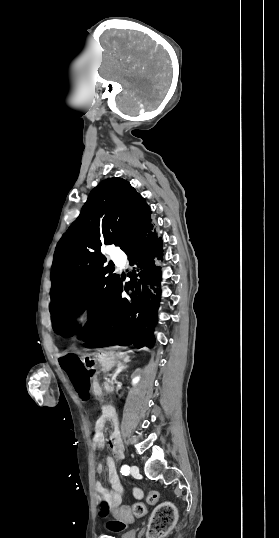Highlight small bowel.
I'll use <instances>...</instances> for the list:
<instances>
[{"mask_svg":"<svg viewBox=\"0 0 279 538\" xmlns=\"http://www.w3.org/2000/svg\"><path fill=\"white\" fill-rule=\"evenodd\" d=\"M69 379L73 386V389L76 395L81 400H88L93 393V382L90 376V373L86 370H78L69 373ZM107 423L112 425V433L108 439V444L112 449L113 454L116 457H120L122 454V443L119 433V424L114 414L112 415H102L95 423L94 426V436H93V446L95 448H103L107 442L104 435V428ZM107 467L108 471V480L110 483V489L105 490L102 485L97 482L96 490L99 495L102 493L106 501L110 506L118 507L122 502V496L125 492L124 485L120 481L116 464L112 457H108L106 463H99L97 465V472H103L104 468ZM134 495L137 499L142 497V492L139 489L134 490ZM125 527L124 523L116 521L110 524V528L116 531H119Z\"/></svg>","mask_w":279,"mask_h":538,"instance_id":"obj_1","label":"small bowel"}]
</instances>
